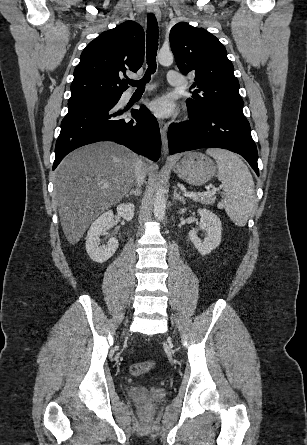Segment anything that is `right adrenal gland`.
Here are the masks:
<instances>
[{"label":"right adrenal gland","instance_id":"obj_1","mask_svg":"<svg viewBox=\"0 0 307 445\" xmlns=\"http://www.w3.org/2000/svg\"><path fill=\"white\" fill-rule=\"evenodd\" d=\"M131 194H134V196H140L141 194V186H137V188H132L128 194H126L127 198L128 196H131Z\"/></svg>","mask_w":307,"mask_h":445}]
</instances>
